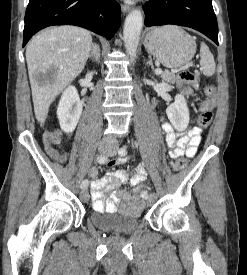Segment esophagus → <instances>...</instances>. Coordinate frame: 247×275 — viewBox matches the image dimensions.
Listing matches in <instances>:
<instances>
[{
	"label": "esophagus",
	"instance_id": "34e87169",
	"mask_svg": "<svg viewBox=\"0 0 247 275\" xmlns=\"http://www.w3.org/2000/svg\"><path fill=\"white\" fill-rule=\"evenodd\" d=\"M121 9L124 13L128 12L131 10V6L129 5H121Z\"/></svg>",
	"mask_w": 247,
	"mask_h": 275
}]
</instances>
